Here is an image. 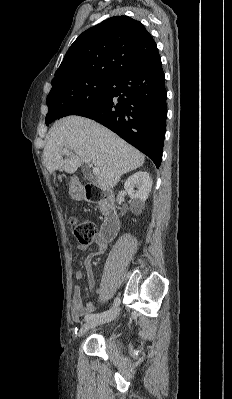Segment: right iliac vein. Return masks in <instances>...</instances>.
Segmentation results:
<instances>
[{
    "label": "right iliac vein",
    "mask_w": 232,
    "mask_h": 399,
    "mask_svg": "<svg viewBox=\"0 0 232 399\" xmlns=\"http://www.w3.org/2000/svg\"><path fill=\"white\" fill-rule=\"evenodd\" d=\"M122 312L121 308H116L112 315L102 316L98 319H94L93 321H89L83 324V327L78 331L77 336L81 337L88 330H92L95 326H101L102 323L109 324L112 323L113 319H117L120 313Z\"/></svg>",
    "instance_id": "63e3f726"
}]
</instances>
